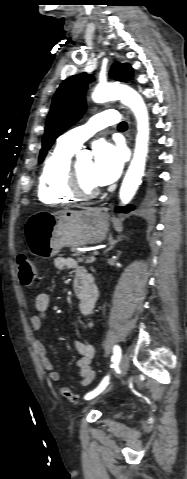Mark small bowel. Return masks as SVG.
Masks as SVG:
<instances>
[{"label":"small bowel","mask_w":187,"mask_h":479,"mask_svg":"<svg viewBox=\"0 0 187 479\" xmlns=\"http://www.w3.org/2000/svg\"><path fill=\"white\" fill-rule=\"evenodd\" d=\"M55 266L58 269H70L75 271L74 291L79 299L78 315L80 320L85 321L88 328L92 327L91 318L96 302L98 291L94 284L88 287L87 283L92 279L87 268L79 264L74 258L59 257L55 260ZM32 307L36 313L31 317L30 323L35 336L33 338L34 351L39 359L42 368L48 373L52 382H59L60 374L49 358L46 356V349L38 334L42 327V322L50 307V296L47 293H39L32 300ZM75 351L81 356L77 361L80 372V385L89 386L96 377V372L91 367V362L95 357L96 350L92 343L75 340L73 342Z\"/></svg>","instance_id":"small-bowel-1"}]
</instances>
